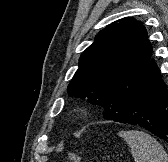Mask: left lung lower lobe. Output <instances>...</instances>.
Segmentation results:
<instances>
[{
	"instance_id": "left-lung-lower-lobe-1",
	"label": "left lung lower lobe",
	"mask_w": 168,
	"mask_h": 162,
	"mask_svg": "<svg viewBox=\"0 0 168 162\" xmlns=\"http://www.w3.org/2000/svg\"><path fill=\"white\" fill-rule=\"evenodd\" d=\"M103 117L143 127L168 142V90L151 54L114 89Z\"/></svg>"
}]
</instances>
